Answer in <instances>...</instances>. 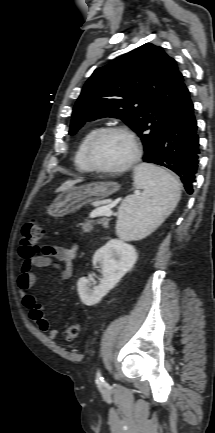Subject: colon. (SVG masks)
<instances>
[{
    "label": "colon",
    "instance_id": "5ec220e1",
    "mask_svg": "<svg viewBox=\"0 0 215 433\" xmlns=\"http://www.w3.org/2000/svg\"><path fill=\"white\" fill-rule=\"evenodd\" d=\"M44 230L42 225L35 219L27 221L22 228V239H21V255L25 257L32 256L35 251L39 248ZM81 325L72 324L66 329V338L68 340H74L81 334Z\"/></svg>",
    "mask_w": 215,
    "mask_h": 433
}]
</instances>
